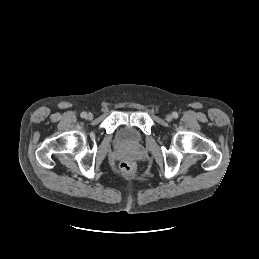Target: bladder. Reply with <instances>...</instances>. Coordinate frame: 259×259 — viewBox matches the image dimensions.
I'll return each instance as SVG.
<instances>
[{"label": "bladder", "mask_w": 259, "mask_h": 259, "mask_svg": "<svg viewBox=\"0 0 259 259\" xmlns=\"http://www.w3.org/2000/svg\"><path fill=\"white\" fill-rule=\"evenodd\" d=\"M117 143L124 147H137L142 143L141 133L134 127L123 126L116 134Z\"/></svg>", "instance_id": "bladder-1"}]
</instances>
